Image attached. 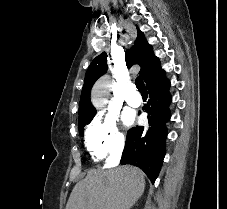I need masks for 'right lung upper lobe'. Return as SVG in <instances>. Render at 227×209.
Listing matches in <instances>:
<instances>
[{
	"mask_svg": "<svg viewBox=\"0 0 227 209\" xmlns=\"http://www.w3.org/2000/svg\"><path fill=\"white\" fill-rule=\"evenodd\" d=\"M138 35L134 45L126 52L125 59L126 65L130 68L134 64L140 65L141 69L139 74L146 82L158 69L159 60L154 55L152 46L146 41L143 32L138 27ZM107 70V54L103 52L97 56L89 66L84 86L81 92L80 105H79V118L94 116L96 113L95 108L90 101V92L95 81L103 75Z\"/></svg>",
	"mask_w": 227,
	"mask_h": 209,
	"instance_id": "1",
	"label": "right lung upper lobe"
}]
</instances>
